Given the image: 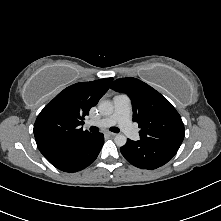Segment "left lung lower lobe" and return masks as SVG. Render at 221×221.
I'll use <instances>...</instances> for the list:
<instances>
[{
    "label": "left lung lower lobe",
    "mask_w": 221,
    "mask_h": 221,
    "mask_svg": "<svg viewBox=\"0 0 221 221\" xmlns=\"http://www.w3.org/2000/svg\"><path fill=\"white\" fill-rule=\"evenodd\" d=\"M120 151L125 159L134 166L143 169H156L171 160L178 149L127 139V143L120 148Z\"/></svg>",
    "instance_id": "1"
}]
</instances>
